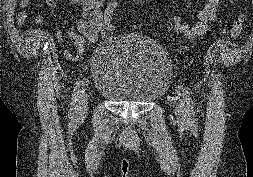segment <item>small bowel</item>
I'll return each mask as SVG.
<instances>
[{"mask_svg":"<svg viewBox=\"0 0 253 177\" xmlns=\"http://www.w3.org/2000/svg\"><path fill=\"white\" fill-rule=\"evenodd\" d=\"M52 10L57 9L56 0H43ZM222 0H208L207 4L199 11L198 21L195 24H188L182 21L179 15L173 17L174 30L184 35L189 40H195L207 33L211 23L218 17ZM107 0H71L73 6H78L79 21L76 29L67 32V38L74 43L75 51L67 50L66 57L72 61L80 60L88 45L98 41L103 24V10ZM29 0H21V10L18 14V22L24 24L28 17ZM57 38L61 39L62 34L55 31Z\"/></svg>","mask_w":253,"mask_h":177,"instance_id":"small-bowel-1","label":"small bowel"}]
</instances>
